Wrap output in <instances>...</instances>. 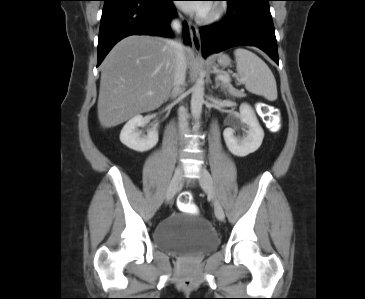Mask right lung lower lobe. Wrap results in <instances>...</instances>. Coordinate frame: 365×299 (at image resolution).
<instances>
[{
	"mask_svg": "<svg viewBox=\"0 0 365 299\" xmlns=\"http://www.w3.org/2000/svg\"><path fill=\"white\" fill-rule=\"evenodd\" d=\"M98 39V63L121 39L138 35L172 37L169 22L176 16L173 0H104ZM184 42L191 45L187 23Z\"/></svg>",
	"mask_w": 365,
	"mask_h": 299,
	"instance_id": "1",
	"label": "right lung lower lobe"
}]
</instances>
